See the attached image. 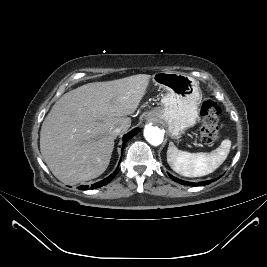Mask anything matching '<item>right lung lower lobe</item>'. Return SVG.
<instances>
[{
	"mask_svg": "<svg viewBox=\"0 0 267 267\" xmlns=\"http://www.w3.org/2000/svg\"><path fill=\"white\" fill-rule=\"evenodd\" d=\"M139 132V128H135L133 129L132 131H130L128 134H126L124 137H123V146H122V150L126 144V142L132 138L135 134H137ZM118 173V169H116L109 177H107L106 179L100 181V182H97L93 185H91V189H95V188H98V187H101V186H104L106 185L108 182H110L114 177L115 175ZM79 189L81 190H88L89 189V186L86 185V186H80Z\"/></svg>",
	"mask_w": 267,
	"mask_h": 267,
	"instance_id": "1",
	"label": "right lung lower lobe"
}]
</instances>
